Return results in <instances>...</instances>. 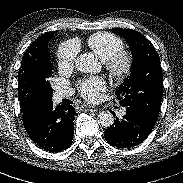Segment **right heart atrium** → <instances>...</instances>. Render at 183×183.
Instances as JSON below:
<instances>
[{
  "label": "right heart atrium",
  "instance_id": "1",
  "mask_svg": "<svg viewBox=\"0 0 183 183\" xmlns=\"http://www.w3.org/2000/svg\"><path fill=\"white\" fill-rule=\"evenodd\" d=\"M77 53H78V46L74 41L69 40L62 43L59 46L57 52L58 67L60 69L71 68L75 62Z\"/></svg>",
  "mask_w": 183,
  "mask_h": 183
}]
</instances>
